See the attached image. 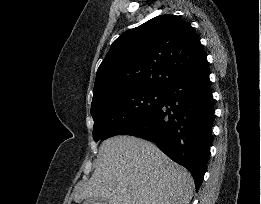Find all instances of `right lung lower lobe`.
I'll list each match as a JSON object with an SVG mask.
<instances>
[{
    "label": "right lung lower lobe",
    "instance_id": "98d812e1",
    "mask_svg": "<svg viewBox=\"0 0 261 204\" xmlns=\"http://www.w3.org/2000/svg\"><path fill=\"white\" fill-rule=\"evenodd\" d=\"M208 62L170 84L160 102L120 135L155 142L169 158L193 175L196 190L207 169L214 100L211 95Z\"/></svg>",
    "mask_w": 261,
    "mask_h": 204
}]
</instances>
